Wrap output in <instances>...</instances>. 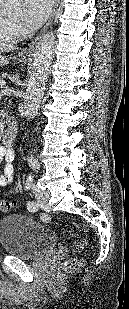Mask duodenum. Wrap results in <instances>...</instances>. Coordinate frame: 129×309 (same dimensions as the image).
<instances>
[{"label": "duodenum", "mask_w": 129, "mask_h": 309, "mask_svg": "<svg viewBox=\"0 0 129 309\" xmlns=\"http://www.w3.org/2000/svg\"><path fill=\"white\" fill-rule=\"evenodd\" d=\"M16 127L11 123L3 133V141L6 147H11L16 139Z\"/></svg>", "instance_id": "obj_1"}]
</instances>
